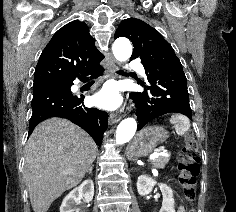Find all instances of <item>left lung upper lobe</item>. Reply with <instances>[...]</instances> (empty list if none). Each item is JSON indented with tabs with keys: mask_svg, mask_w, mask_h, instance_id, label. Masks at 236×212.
Instances as JSON below:
<instances>
[{
	"mask_svg": "<svg viewBox=\"0 0 236 212\" xmlns=\"http://www.w3.org/2000/svg\"><path fill=\"white\" fill-rule=\"evenodd\" d=\"M118 37H127L131 40L134 45L131 60L139 57L144 67L181 65L172 46L162 35L139 19L128 18L123 20L114 35L115 39Z\"/></svg>",
	"mask_w": 236,
	"mask_h": 212,
	"instance_id": "left-lung-upper-lobe-1",
	"label": "left lung upper lobe"
}]
</instances>
